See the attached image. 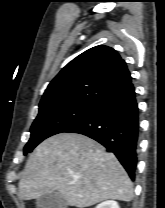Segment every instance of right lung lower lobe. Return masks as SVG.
Wrapping results in <instances>:
<instances>
[{
	"instance_id": "1",
	"label": "right lung lower lobe",
	"mask_w": 165,
	"mask_h": 208,
	"mask_svg": "<svg viewBox=\"0 0 165 208\" xmlns=\"http://www.w3.org/2000/svg\"><path fill=\"white\" fill-rule=\"evenodd\" d=\"M66 132L83 134L101 143L116 155L130 178L135 179L139 111L132 83L101 99Z\"/></svg>"
}]
</instances>
